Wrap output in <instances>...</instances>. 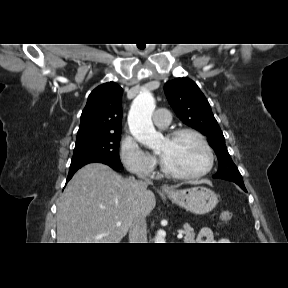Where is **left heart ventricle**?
<instances>
[{"label":"left heart ventricle","mask_w":288,"mask_h":288,"mask_svg":"<svg viewBox=\"0 0 288 288\" xmlns=\"http://www.w3.org/2000/svg\"><path fill=\"white\" fill-rule=\"evenodd\" d=\"M157 153L166 166L181 173H197L208 164L204 147L191 135H184L173 141L165 138Z\"/></svg>","instance_id":"1"}]
</instances>
